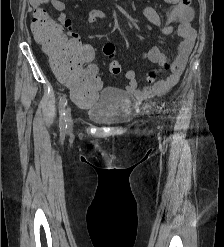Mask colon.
Returning a JSON list of instances; mask_svg holds the SVG:
<instances>
[{"label":"colon","mask_w":224,"mask_h":247,"mask_svg":"<svg viewBox=\"0 0 224 247\" xmlns=\"http://www.w3.org/2000/svg\"><path fill=\"white\" fill-rule=\"evenodd\" d=\"M31 29L36 41L52 55L51 68L70 89L74 102L82 107L93 104L98 96L99 83L98 69L92 64L93 48L66 37L61 27L50 19L43 9L35 11ZM103 54L110 59V72L120 75L121 65L113 59L114 46L106 44ZM169 68V63L163 66V69ZM154 75L155 71H152L149 77Z\"/></svg>","instance_id":"obj_1"}]
</instances>
